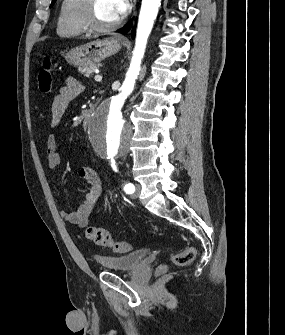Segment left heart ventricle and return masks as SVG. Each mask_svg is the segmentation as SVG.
Returning <instances> with one entry per match:
<instances>
[{"label":"left heart ventricle","instance_id":"obj_1","mask_svg":"<svg viewBox=\"0 0 285 335\" xmlns=\"http://www.w3.org/2000/svg\"><path fill=\"white\" fill-rule=\"evenodd\" d=\"M94 20L99 26H109L117 21L115 1H95Z\"/></svg>","mask_w":285,"mask_h":335}]
</instances>
